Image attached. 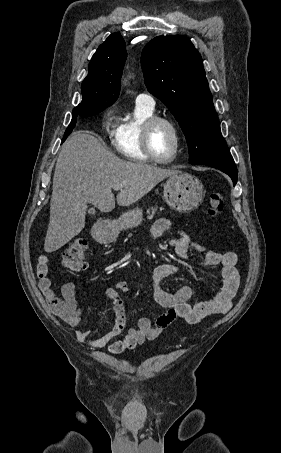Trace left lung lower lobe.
I'll return each instance as SVG.
<instances>
[{
  "label": "left lung lower lobe",
  "instance_id": "1",
  "mask_svg": "<svg viewBox=\"0 0 281 453\" xmlns=\"http://www.w3.org/2000/svg\"><path fill=\"white\" fill-rule=\"evenodd\" d=\"M202 165L214 167L216 169L221 170L222 172L226 173L231 177L233 180V185L236 184L237 182V168L236 165L233 162H213V163H205Z\"/></svg>",
  "mask_w": 281,
  "mask_h": 453
}]
</instances>
